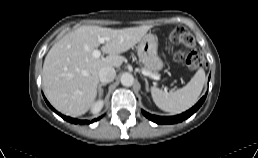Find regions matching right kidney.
<instances>
[{
  "label": "right kidney",
  "mask_w": 258,
  "mask_h": 158,
  "mask_svg": "<svg viewBox=\"0 0 258 158\" xmlns=\"http://www.w3.org/2000/svg\"><path fill=\"white\" fill-rule=\"evenodd\" d=\"M103 107V100L99 99L97 102H95L92 106H91V112L93 114H97L98 112L101 111Z\"/></svg>",
  "instance_id": "ca27d5eb"
}]
</instances>
